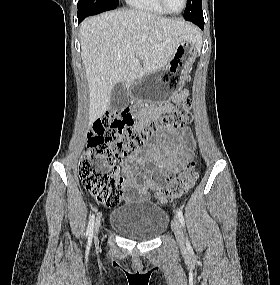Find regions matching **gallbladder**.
Returning a JSON list of instances; mask_svg holds the SVG:
<instances>
[{"mask_svg": "<svg viewBox=\"0 0 280 285\" xmlns=\"http://www.w3.org/2000/svg\"><path fill=\"white\" fill-rule=\"evenodd\" d=\"M129 104V96L126 88L121 83L113 86L110 98V108L112 110H122Z\"/></svg>", "mask_w": 280, "mask_h": 285, "instance_id": "obj_1", "label": "gallbladder"}]
</instances>
